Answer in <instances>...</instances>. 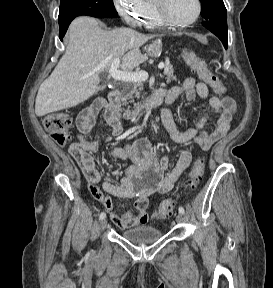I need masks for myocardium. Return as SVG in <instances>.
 Listing matches in <instances>:
<instances>
[{"instance_id": "obj_1", "label": "myocardium", "mask_w": 273, "mask_h": 288, "mask_svg": "<svg viewBox=\"0 0 273 288\" xmlns=\"http://www.w3.org/2000/svg\"><path fill=\"white\" fill-rule=\"evenodd\" d=\"M195 1L197 5L196 14L194 15L192 19L185 21V22L174 21L168 16L164 6L162 5L164 0H152V3H153L154 10H155V14L157 18L162 22V24L175 27V28H184V27H188L194 24L201 16L202 2L201 0H195Z\"/></svg>"}]
</instances>
